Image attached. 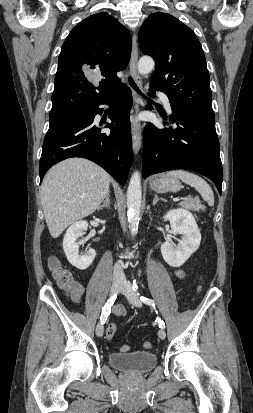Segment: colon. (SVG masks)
I'll return each mask as SVG.
<instances>
[{"label": "colon", "mask_w": 253, "mask_h": 413, "mask_svg": "<svg viewBox=\"0 0 253 413\" xmlns=\"http://www.w3.org/2000/svg\"><path fill=\"white\" fill-rule=\"evenodd\" d=\"M49 268L52 272L54 279L56 280L58 285H60L61 287L67 286L74 280L72 273L66 268H64L57 258H51L49 260ZM116 330H117V326L115 323L109 324L106 330L107 338L109 339L113 338L116 333ZM143 346L145 349H151L152 343L149 341H146L144 342ZM120 350L122 352H127L129 350V346L123 345Z\"/></svg>", "instance_id": "colon-1"}]
</instances>
